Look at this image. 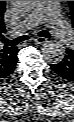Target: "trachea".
I'll return each instance as SVG.
<instances>
[{
	"label": "trachea",
	"mask_w": 74,
	"mask_h": 122,
	"mask_svg": "<svg viewBox=\"0 0 74 122\" xmlns=\"http://www.w3.org/2000/svg\"><path fill=\"white\" fill-rule=\"evenodd\" d=\"M38 36L44 37V38H51V34L46 30L40 31L38 33ZM28 39H29L28 35H22V36H19V37L13 39V40L4 39L3 42L5 43L6 46H16L19 43H21L25 40H28Z\"/></svg>",
	"instance_id": "obj_1"
}]
</instances>
